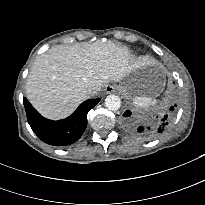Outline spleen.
<instances>
[{
	"label": "spleen",
	"mask_w": 205,
	"mask_h": 205,
	"mask_svg": "<svg viewBox=\"0 0 205 205\" xmlns=\"http://www.w3.org/2000/svg\"><path fill=\"white\" fill-rule=\"evenodd\" d=\"M133 103L137 107H147L151 104H155L156 101L148 97H136L133 99Z\"/></svg>",
	"instance_id": "spleen-1"
}]
</instances>
